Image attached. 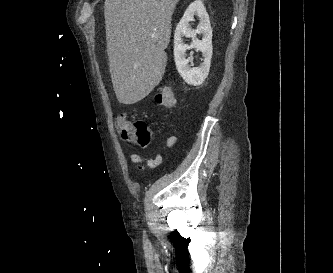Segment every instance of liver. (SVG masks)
<instances>
[{
    "mask_svg": "<svg viewBox=\"0 0 333 273\" xmlns=\"http://www.w3.org/2000/svg\"><path fill=\"white\" fill-rule=\"evenodd\" d=\"M179 0H105L113 89L125 105L144 99L165 73L171 19Z\"/></svg>",
    "mask_w": 333,
    "mask_h": 273,
    "instance_id": "1",
    "label": "liver"
}]
</instances>
